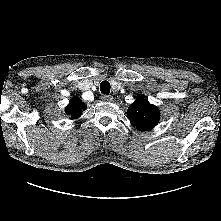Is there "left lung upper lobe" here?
<instances>
[{
  "mask_svg": "<svg viewBox=\"0 0 221 221\" xmlns=\"http://www.w3.org/2000/svg\"><path fill=\"white\" fill-rule=\"evenodd\" d=\"M127 116L131 124L140 131L153 129L160 118L158 108L150 104L143 97H138L135 102L128 107Z\"/></svg>",
  "mask_w": 221,
  "mask_h": 221,
  "instance_id": "obj_1",
  "label": "left lung upper lobe"
}]
</instances>
